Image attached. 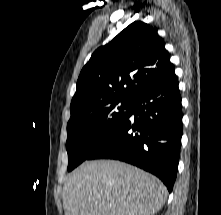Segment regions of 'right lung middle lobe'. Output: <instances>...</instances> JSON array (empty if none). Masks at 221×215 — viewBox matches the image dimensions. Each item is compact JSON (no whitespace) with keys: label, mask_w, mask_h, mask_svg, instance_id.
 Segmentation results:
<instances>
[{"label":"right lung middle lobe","mask_w":221,"mask_h":215,"mask_svg":"<svg viewBox=\"0 0 221 215\" xmlns=\"http://www.w3.org/2000/svg\"><path fill=\"white\" fill-rule=\"evenodd\" d=\"M132 103L129 99H110L70 107L66 141L68 171L85 161L116 129L130 112Z\"/></svg>","instance_id":"obj_1"}]
</instances>
